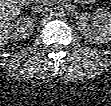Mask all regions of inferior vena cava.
<instances>
[{
  "instance_id": "602c4592",
  "label": "inferior vena cava",
  "mask_w": 111,
  "mask_h": 106,
  "mask_svg": "<svg viewBox=\"0 0 111 106\" xmlns=\"http://www.w3.org/2000/svg\"><path fill=\"white\" fill-rule=\"evenodd\" d=\"M47 1L36 0L32 6V10L35 13H44L47 12L48 8L46 7Z\"/></svg>"
}]
</instances>
